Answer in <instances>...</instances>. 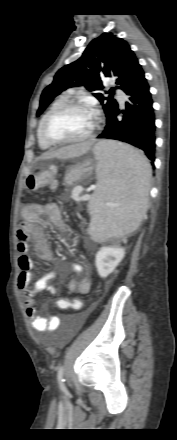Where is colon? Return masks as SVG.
<instances>
[{"label": "colon", "mask_w": 177, "mask_h": 440, "mask_svg": "<svg viewBox=\"0 0 177 440\" xmlns=\"http://www.w3.org/2000/svg\"><path fill=\"white\" fill-rule=\"evenodd\" d=\"M26 183L30 189H36L42 186L55 188L57 185L55 170L51 169L30 175L28 176ZM84 303V298H57L54 306L57 311H81L84 308Z\"/></svg>", "instance_id": "colon-1"}]
</instances>
